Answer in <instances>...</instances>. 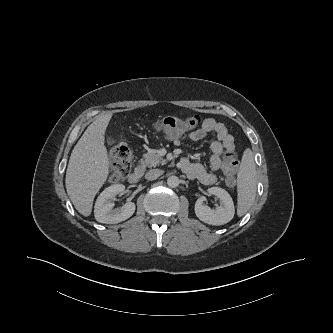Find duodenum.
<instances>
[{"label": "duodenum", "instance_id": "410a0bca", "mask_svg": "<svg viewBox=\"0 0 333 333\" xmlns=\"http://www.w3.org/2000/svg\"><path fill=\"white\" fill-rule=\"evenodd\" d=\"M143 173H144V168L142 166L137 167L135 171L129 176L128 178L129 183L137 184L141 180Z\"/></svg>", "mask_w": 333, "mask_h": 333}]
</instances>
